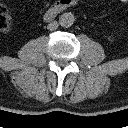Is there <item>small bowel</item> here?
Returning <instances> with one entry per match:
<instances>
[{
	"instance_id": "c3829d8e",
	"label": "small bowel",
	"mask_w": 128,
	"mask_h": 128,
	"mask_svg": "<svg viewBox=\"0 0 128 128\" xmlns=\"http://www.w3.org/2000/svg\"><path fill=\"white\" fill-rule=\"evenodd\" d=\"M119 1L124 2V3L128 2V0H119Z\"/></svg>"
}]
</instances>
